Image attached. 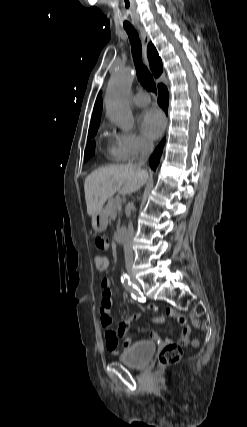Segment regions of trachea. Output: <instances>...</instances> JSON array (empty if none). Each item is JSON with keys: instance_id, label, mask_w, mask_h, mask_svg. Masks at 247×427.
I'll list each match as a JSON object with an SVG mask.
<instances>
[{"instance_id": "obj_1", "label": "trachea", "mask_w": 247, "mask_h": 427, "mask_svg": "<svg viewBox=\"0 0 247 427\" xmlns=\"http://www.w3.org/2000/svg\"><path fill=\"white\" fill-rule=\"evenodd\" d=\"M132 48L133 61L137 71V77L141 85L150 92H156V84L148 69L142 63V46L139 36L133 26L124 25Z\"/></svg>"}]
</instances>
